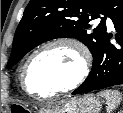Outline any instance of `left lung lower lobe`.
<instances>
[{
  "label": "left lung lower lobe",
  "instance_id": "obj_1",
  "mask_svg": "<svg viewBox=\"0 0 123 113\" xmlns=\"http://www.w3.org/2000/svg\"><path fill=\"white\" fill-rule=\"evenodd\" d=\"M106 16L112 19L119 32L117 44L110 43L107 35L93 54V66L87 79L72 94H82L123 84V0H110Z\"/></svg>",
  "mask_w": 123,
  "mask_h": 113
}]
</instances>
